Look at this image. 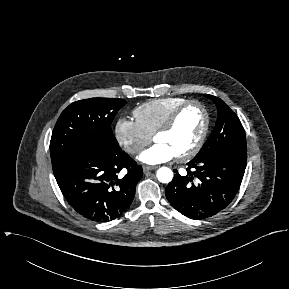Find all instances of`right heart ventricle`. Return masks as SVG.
Here are the masks:
<instances>
[{
	"label": "right heart ventricle",
	"mask_w": 289,
	"mask_h": 289,
	"mask_svg": "<svg viewBox=\"0 0 289 289\" xmlns=\"http://www.w3.org/2000/svg\"><path fill=\"white\" fill-rule=\"evenodd\" d=\"M183 97L157 98L137 106L133 115L140 127L150 136L166 121L169 115L182 103Z\"/></svg>",
	"instance_id": "right-heart-ventricle-1"
}]
</instances>
